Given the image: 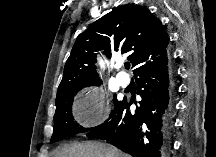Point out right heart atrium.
<instances>
[{"mask_svg":"<svg viewBox=\"0 0 216 157\" xmlns=\"http://www.w3.org/2000/svg\"><path fill=\"white\" fill-rule=\"evenodd\" d=\"M111 106L97 89H92L86 95L85 108L78 118L83 126H95L103 122L110 114Z\"/></svg>","mask_w":216,"mask_h":157,"instance_id":"1","label":"right heart atrium"}]
</instances>
